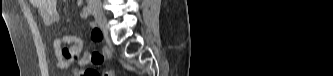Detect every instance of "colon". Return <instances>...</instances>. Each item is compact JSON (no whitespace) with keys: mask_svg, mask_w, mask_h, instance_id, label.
I'll return each instance as SVG.
<instances>
[{"mask_svg":"<svg viewBox=\"0 0 333 76\" xmlns=\"http://www.w3.org/2000/svg\"><path fill=\"white\" fill-rule=\"evenodd\" d=\"M83 76H100V73L95 72L94 70L91 69H84L83 70ZM105 76H113L112 72H107Z\"/></svg>","mask_w":333,"mask_h":76,"instance_id":"obj_1","label":"colon"}]
</instances>
